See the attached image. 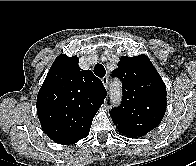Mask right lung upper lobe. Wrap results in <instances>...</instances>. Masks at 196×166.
<instances>
[{
    "instance_id": "obj_1",
    "label": "right lung upper lobe",
    "mask_w": 196,
    "mask_h": 166,
    "mask_svg": "<svg viewBox=\"0 0 196 166\" xmlns=\"http://www.w3.org/2000/svg\"><path fill=\"white\" fill-rule=\"evenodd\" d=\"M78 61L77 56L59 55L37 96L41 127L58 144H73L87 137L106 97L101 80L92 71L80 69Z\"/></svg>"
}]
</instances>
